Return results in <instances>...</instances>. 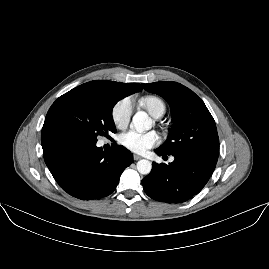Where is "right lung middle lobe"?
<instances>
[{"label":"right lung middle lobe","mask_w":269,"mask_h":269,"mask_svg":"<svg viewBox=\"0 0 269 269\" xmlns=\"http://www.w3.org/2000/svg\"><path fill=\"white\" fill-rule=\"evenodd\" d=\"M121 100L113 95L74 88L50 107L45 122L64 124L88 140L116 132L112 120L114 105Z\"/></svg>","instance_id":"dd1d6c3e"}]
</instances>
